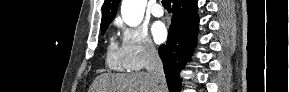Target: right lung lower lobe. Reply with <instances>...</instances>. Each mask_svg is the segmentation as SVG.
<instances>
[{"label":"right lung lower lobe","instance_id":"98d812e1","mask_svg":"<svg viewBox=\"0 0 289 92\" xmlns=\"http://www.w3.org/2000/svg\"><path fill=\"white\" fill-rule=\"evenodd\" d=\"M172 22L166 45L159 47V56L170 92L180 91L179 72L196 46L198 30L197 1L176 2L172 6Z\"/></svg>","mask_w":289,"mask_h":92}]
</instances>
